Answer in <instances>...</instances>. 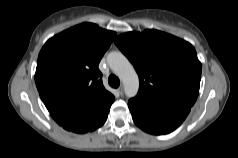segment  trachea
<instances>
[{"label":"trachea","mask_w":238,"mask_h":158,"mask_svg":"<svg viewBox=\"0 0 238 158\" xmlns=\"http://www.w3.org/2000/svg\"><path fill=\"white\" fill-rule=\"evenodd\" d=\"M108 83L111 87L117 88L120 85V80L115 75H110L108 78Z\"/></svg>","instance_id":"1"}]
</instances>
